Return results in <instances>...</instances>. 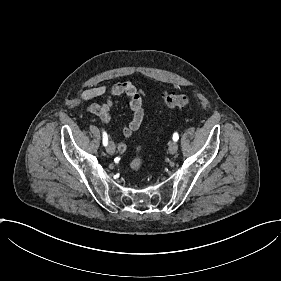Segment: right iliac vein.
<instances>
[{"mask_svg": "<svg viewBox=\"0 0 281 281\" xmlns=\"http://www.w3.org/2000/svg\"><path fill=\"white\" fill-rule=\"evenodd\" d=\"M106 153L108 155H114L116 153V145L114 143H109L106 148Z\"/></svg>", "mask_w": 281, "mask_h": 281, "instance_id": "1", "label": "right iliac vein"}]
</instances>
